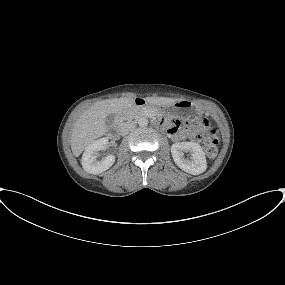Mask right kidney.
<instances>
[{"label": "right kidney", "mask_w": 285, "mask_h": 285, "mask_svg": "<svg viewBox=\"0 0 285 285\" xmlns=\"http://www.w3.org/2000/svg\"><path fill=\"white\" fill-rule=\"evenodd\" d=\"M108 138L103 137L89 144L82 156V167L90 174H100L109 169L115 162L114 155H107L100 161L98 158V151L106 149Z\"/></svg>", "instance_id": "obj_1"}]
</instances>
